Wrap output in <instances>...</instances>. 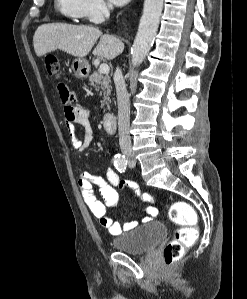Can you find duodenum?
I'll return each instance as SVG.
<instances>
[{
    "label": "duodenum",
    "instance_id": "1",
    "mask_svg": "<svg viewBox=\"0 0 247 299\" xmlns=\"http://www.w3.org/2000/svg\"><path fill=\"white\" fill-rule=\"evenodd\" d=\"M103 126L108 133H113L117 127V118L113 113H107L103 116Z\"/></svg>",
    "mask_w": 247,
    "mask_h": 299
}]
</instances>
